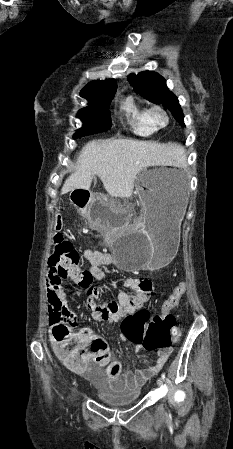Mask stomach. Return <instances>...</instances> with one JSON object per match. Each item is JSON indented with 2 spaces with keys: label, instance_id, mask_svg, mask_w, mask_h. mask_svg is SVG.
<instances>
[{
  "label": "stomach",
  "instance_id": "0dacf381",
  "mask_svg": "<svg viewBox=\"0 0 233 449\" xmlns=\"http://www.w3.org/2000/svg\"><path fill=\"white\" fill-rule=\"evenodd\" d=\"M187 180L184 171L145 168L135 179V194L144 207L142 223H135L131 201L92 198L91 206H77L93 227L112 232L107 244L120 269L156 270L175 257L180 223L186 209ZM74 191V190H73Z\"/></svg>",
  "mask_w": 233,
  "mask_h": 449
}]
</instances>
